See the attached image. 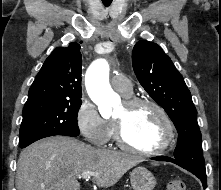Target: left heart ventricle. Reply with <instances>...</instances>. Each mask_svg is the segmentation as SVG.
I'll use <instances>...</instances> for the list:
<instances>
[{
	"mask_svg": "<svg viewBox=\"0 0 221 190\" xmlns=\"http://www.w3.org/2000/svg\"><path fill=\"white\" fill-rule=\"evenodd\" d=\"M114 118L124 121L127 140L138 148H155L163 141L164 123L157 111L148 105L127 110L122 103Z\"/></svg>",
	"mask_w": 221,
	"mask_h": 190,
	"instance_id": "obj_1",
	"label": "left heart ventricle"
}]
</instances>
